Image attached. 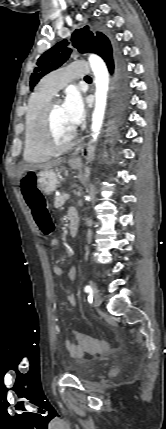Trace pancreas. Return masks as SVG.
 Listing matches in <instances>:
<instances>
[{
  "label": "pancreas",
  "mask_w": 166,
  "mask_h": 429,
  "mask_svg": "<svg viewBox=\"0 0 166 429\" xmlns=\"http://www.w3.org/2000/svg\"><path fill=\"white\" fill-rule=\"evenodd\" d=\"M65 193H61L59 196H55L54 207L57 209L62 208L65 204Z\"/></svg>",
  "instance_id": "1"
}]
</instances>
